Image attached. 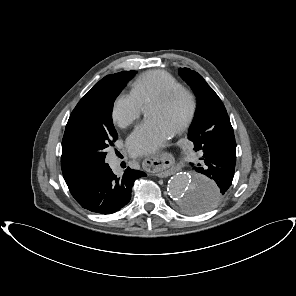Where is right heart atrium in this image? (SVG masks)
<instances>
[{
    "mask_svg": "<svg viewBox=\"0 0 296 296\" xmlns=\"http://www.w3.org/2000/svg\"><path fill=\"white\" fill-rule=\"evenodd\" d=\"M142 106L131 94L119 95L112 106L113 122L120 128L132 125L141 115Z\"/></svg>",
    "mask_w": 296,
    "mask_h": 296,
    "instance_id": "obj_1",
    "label": "right heart atrium"
}]
</instances>
